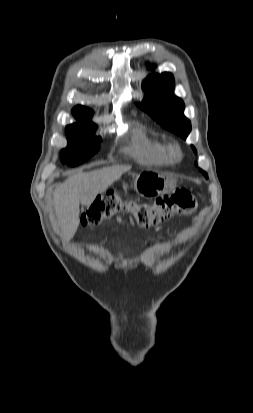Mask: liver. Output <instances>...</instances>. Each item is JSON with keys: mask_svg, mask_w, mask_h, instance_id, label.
<instances>
[{"mask_svg": "<svg viewBox=\"0 0 253 413\" xmlns=\"http://www.w3.org/2000/svg\"><path fill=\"white\" fill-rule=\"evenodd\" d=\"M130 166H110L91 172L79 171L57 188L53 195L56 217L63 237L73 238L79 226L80 203L90 206L98 194L117 181Z\"/></svg>", "mask_w": 253, "mask_h": 413, "instance_id": "liver-1", "label": "liver"}]
</instances>
